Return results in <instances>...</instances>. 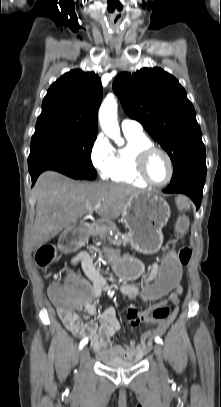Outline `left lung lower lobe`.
<instances>
[{
    "label": "left lung lower lobe",
    "mask_w": 221,
    "mask_h": 407,
    "mask_svg": "<svg viewBox=\"0 0 221 407\" xmlns=\"http://www.w3.org/2000/svg\"><path fill=\"white\" fill-rule=\"evenodd\" d=\"M206 162L201 161L190 165L178 176L172 178L170 185L163 190L164 193H182L188 195L200 207L202 191L206 179Z\"/></svg>",
    "instance_id": "left-lung-lower-lobe-1"
}]
</instances>
